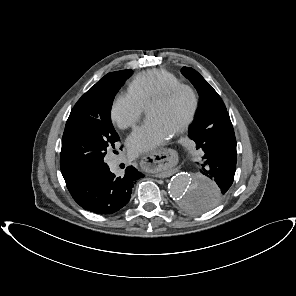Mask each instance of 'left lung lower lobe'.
Listing matches in <instances>:
<instances>
[{
    "instance_id": "left-lung-lower-lobe-1",
    "label": "left lung lower lobe",
    "mask_w": 296,
    "mask_h": 296,
    "mask_svg": "<svg viewBox=\"0 0 296 296\" xmlns=\"http://www.w3.org/2000/svg\"><path fill=\"white\" fill-rule=\"evenodd\" d=\"M201 148L204 162L200 172L215 181L218 190L193 201L191 211H205L218 203L229 191L236 169V138L229 114L218 119L203 133ZM190 210V209H189Z\"/></svg>"
}]
</instances>
